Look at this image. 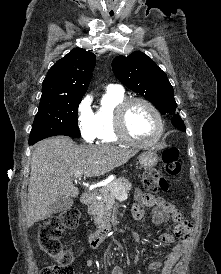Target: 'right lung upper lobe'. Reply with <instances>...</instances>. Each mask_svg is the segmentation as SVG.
<instances>
[{
	"label": "right lung upper lobe",
	"instance_id": "obj_1",
	"mask_svg": "<svg viewBox=\"0 0 221 274\" xmlns=\"http://www.w3.org/2000/svg\"><path fill=\"white\" fill-rule=\"evenodd\" d=\"M95 55L74 48L48 71L42 85L43 99L82 98L95 67Z\"/></svg>",
	"mask_w": 221,
	"mask_h": 274
}]
</instances>
